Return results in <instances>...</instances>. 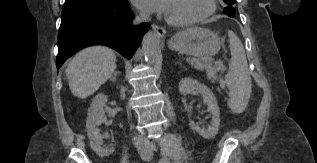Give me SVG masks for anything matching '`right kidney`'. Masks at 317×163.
<instances>
[{"label": "right kidney", "instance_id": "ca27d5eb", "mask_svg": "<svg viewBox=\"0 0 317 163\" xmlns=\"http://www.w3.org/2000/svg\"><path fill=\"white\" fill-rule=\"evenodd\" d=\"M108 98L104 94L100 93L95 96L92 104L88 110V118L86 121L87 135L90 140V146L99 157L109 156L114 152V148H104L103 136L100 134L99 125L105 123L107 118L105 116L103 106L107 102Z\"/></svg>", "mask_w": 317, "mask_h": 163}]
</instances>
